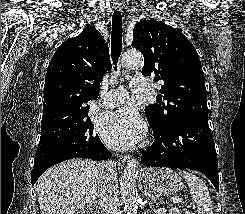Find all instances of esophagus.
Returning a JSON list of instances; mask_svg holds the SVG:
<instances>
[{"label": "esophagus", "instance_id": "1", "mask_svg": "<svg viewBox=\"0 0 245 214\" xmlns=\"http://www.w3.org/2000/svg\"><path fill=\"white\" fill-rule=\"evenodd\" d=\"M114 8H115L116 10L120 11V10L122 9V6H121V4H115V5H114ZM129 159H130V157L127 156V155H121V156H119V158H118L119 162H122V163L128 161Z\"/></svg>", "mask_w": 245, "mask_h": 214}]
</instances>
